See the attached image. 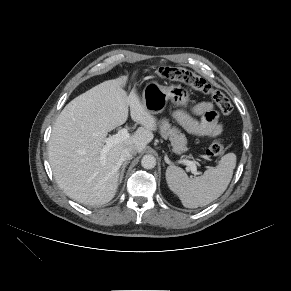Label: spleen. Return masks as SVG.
<instances>
[{"label": "spleen", "instance_id": "3e777b00", "mask_svg": "<svg viewBox=\"0 0 291 291\" xmlns=\"http://www.w3.org/2000/svg\"><path fill=\"white\" fill-rule=\"evenodd\" d=\"M236 166V155H224L215 167L206 170L203 175L189 178L186 172L176 166L166 170V181L186 208L208 205L219 198L227 189Z\"/></svg>", "mask_w": 291, "mask_h": 291}]
</instances>
